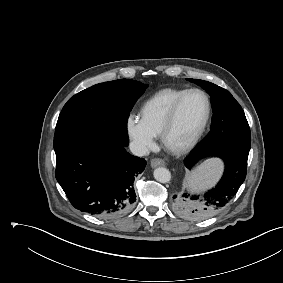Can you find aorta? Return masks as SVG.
I'll list each match as a JSON object with an SVG mask.
<instances>
[{"label": "aorta", "instance_id": "1", "mask_svg": "<svg viewBox=\"0 0 283 283\" xmlns=\"http://www.w3.org/2000/svg\"><path fill=\"white\" fill-rule=\"evenodd\" d=\"M154 178L161 183H167L171 179V173L167 168L159 167L154 170Z\"/></svg>", "mask_w": 283, "mask_h": 283}]
</instances>
